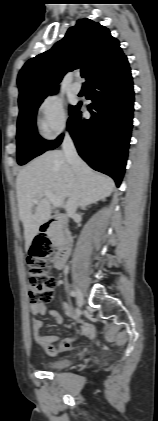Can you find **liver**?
<instances>
[{
  "instance_id": "1",
  "label": "liver",
  "mask_w": 158,
  "mask_h": 421,
  "mask_svg": "<svg viewBox=\"0 0 158 421\" xmlns=\"http://www.w3.org/2000/svg\"><path fill=\"white\" fill-rule=\"evenodd\" d=\"M115 187L114 181L93 171L81 161L75 174L61 150L47 151L29 162L17 175L16 192L19 217L24 227V238L28 248L39 231L40 225L51 215L49 200L43 191L50 190L64 207L66 198L79 194V205L87 206L109 196ZM37 199V203H34ZM36 208L33 212V206Z\"/></svg>"
}]
</instances>
